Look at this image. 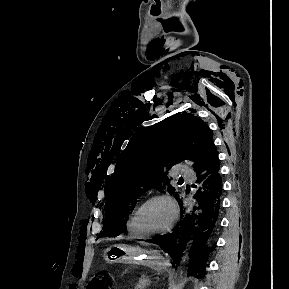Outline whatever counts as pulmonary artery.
<instances>
[{
	"label": "pulmonary artery",
	"instance_id": "e3ab8cb5",
	"mask_svg": "<svg viewBox=\"0 0 289 289\" xmlns=\"http://www.w3.org/2000/svg\"><path fill=\"white\" fill-rule=\"evenodd\" d=\"M179 172L180 176H182L183 178L188 179L193 177V173L189 170L188 166L185 164L179 165Z\"/></svg>",
	"mask_w": 289,
	"mask_h": 289
}]
</instances>
